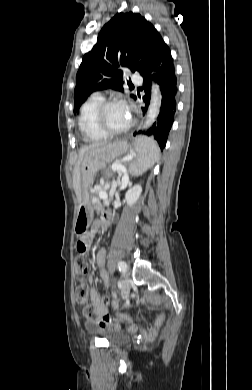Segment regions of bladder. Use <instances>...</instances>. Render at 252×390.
Returning a JSON list of instances; mask_svg holds the SVG:
<instances>
[{
    "instance_id": "31cf9c89",
    "label": "bladder",
    "mask_w": 252,
    "mask_h": 390,
    "mask_svg": "<svg viewBox=\"0 0 252 390\" xmlns=\"http://www.w3.org/2000/svg\"><path fill=\"white\" fill-rule=\"evenodd\" d=\"M91 330L97 334L102 335L105 339L113 344H124L130 340V335L127 332L116 329L114 327H93Z\"/></svg>"
}]
</instances>
